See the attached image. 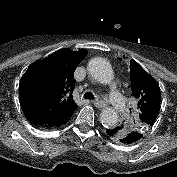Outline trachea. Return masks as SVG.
Masks as SVG:
<instances>
[{
    "label": "trachea",
    "mask_w": 177,
    "mask_h": 177,
    "mask_svg": "<svg viewBox=\"0 0 177 177\" xmlns=\"http://www.w3.org/2000/svg\"><path fill=\"white\" fill-rule=\"evenodd\" d=\"M84 98H86V99H95L94 95L91 92H86L84 94Z\"/></svg>",
    "instance_id": "1"
}]
</instances>
